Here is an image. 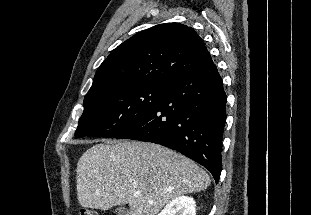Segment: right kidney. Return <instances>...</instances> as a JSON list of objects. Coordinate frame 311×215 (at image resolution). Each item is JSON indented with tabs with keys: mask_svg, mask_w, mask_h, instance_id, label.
Returning a JSON list of instances; mask_svg holds the SVG:
<instances>
[{
	"mask_svg": "<svg viewBox=\"0 0 311 215\" xmlns=\"http://www.w3.org/2000/svg\"><path fill=\"white\" fill-rule=\"evenodd\" d=\"M192 197L180 196L170 201L158 215H196Z\"/></svg>",
	"mask_w": 311,
	"mask_h": 215,
	"instance_id": "1",
	"label": "right kidney"
}]
</instances>
